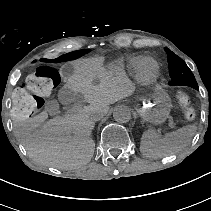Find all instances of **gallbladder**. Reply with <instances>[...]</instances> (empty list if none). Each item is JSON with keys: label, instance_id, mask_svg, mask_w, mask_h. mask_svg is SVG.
<instances>
[{"label": "gallbladder", "instance_id": "1", "mask_svg": "<svg viewBox=\"0 0 211 211\" xmlns=\"http://www.w3.org/2000/svg\"><path fill=\"white\" fill-rule=\"evenodd\" d=\"M82 100V95L68 86H63L58 91V101L62 105L78 104Z\"/></svg>", "mask_w": 211, "mask_h": 211}]
</instances>
